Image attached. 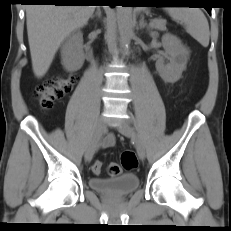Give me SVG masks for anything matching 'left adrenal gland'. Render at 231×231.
Instances as JSON below:
<instances>
[{
  "label": "left adrenal gland",
  "mask_w": 231,
  "mask_h": 231,
  "mask_svg": "<svg viewBox=\"0 0 231 231\" xmlns=\"http://www.w3.org/2000/svg\"><path fill=\"white\" fill-rule=\"evenodd\" d=\"M139 28L140 29L147 28V30L150 31V27L147 26V23L144 21V17H142L139 21Z\"/></svg>",
  "instance_id": "1"
}]
</instances>
